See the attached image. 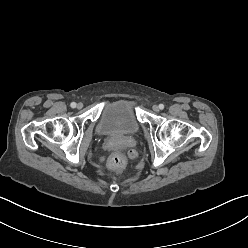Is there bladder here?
<instances>
[{
  "instance_id": "31cf9c89",
  "label": "bladder",
  "mask_w": 248,
  "mask_h": 248,
  "mask_svg": "<svg viewBox=\"0 0 248 248\" xmlns=\"http://www.w3.org/2000/svg\"><path fill=\"white\" fill-rule=\"evenodd\" d=\"M141 128L133 103L117 99L103 104L95 132L102 137L131 136Z\"/></svg>"
}]
</instances>
